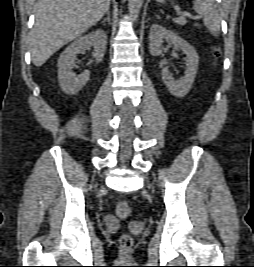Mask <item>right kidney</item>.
<instances>
[{"label": "right kidney", "mask_w": 254, "mask_h": 267, "mask_svg": "<svg viewBox=\"0 0 254 267\" xmlns=\"http://www.w3.org/2000/svg\"><path fill=\"white\" fill-rule=\"evenodd\" d=\"M106 44L107 34L104 30L99 29L78 38L60 55L58 59V80L61 89L66 94L74 95L78 93L90 78L88 70L78 76L72 72L77 54L93 47V60L97 63L101 62L106 51Z\"/></svg>", "instance_id": "1"}]
</instances>
